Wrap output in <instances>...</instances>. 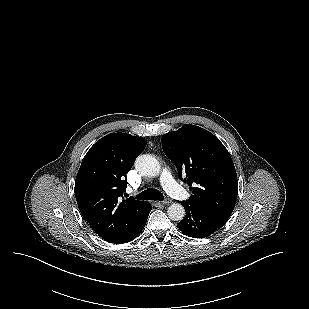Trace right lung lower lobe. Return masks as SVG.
I'll return each mask as SVG.
<instances>
[{"instance_id":"98d812e1","label":"right lung lower lobe","mask_w":309,"mask_h":309,"mask_svg":"<svg viewBox=\"0 0 309 309\" xmlns=\"http://www.w3.org/2000/svg\"><path fill=\"white\" fill-rule=\"evenodd\" d=\"M151 209H152V207L148 203V205L146 206V209L144 211L143 216L134 226H132L125 233H123L119 236L113 237V238L106 239V241H108L110 243H114V244H122V243H127V242L134 240L143 230Z\"/></svg>"}]
</instances>
